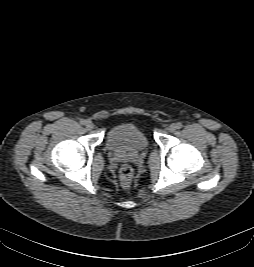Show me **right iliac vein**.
<instances>
[{
	"mask_svg": "<svg viewBox=\"0 0 254 267\" xmlns=\"http://www.w3.org/2000/svg\"><path fill=\"white\" fill-rule=\"evenodd\" d=\"M85 127L88 129V130H92L94 128V125L91 121H86L85 122Z\"/></svg>",
	"mask_w": 254,
	"mask_h": 267,
	"instance_id": "obj_1",
	"label": "right iliac vein"
}]
</instances>
